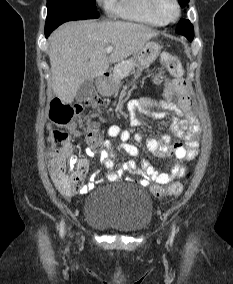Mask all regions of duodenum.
<instances>
[{
	"label": "duodenum",
	"mask_w": 233,
	"mask_h": 284,
	"mask_svg": "<svg viewBox=\"0 0 233 284\" xmlns=\"http://www.w3.org/2000/svg\"><path fill=\"white\" fill-rule=\"evenodd\" d=\"M109 76H110V74L108 73V72H105L104 74H103V78H104V80H107L108 78H109ZM105 83H103L102 85H104Z\"/></svg>",
	"instance_id": "410a0bca"
}]
</instances>
